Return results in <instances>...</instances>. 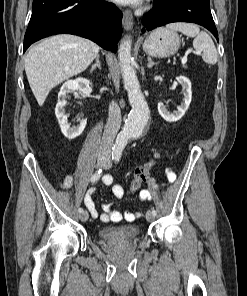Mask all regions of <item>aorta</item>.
<instances>
[{
	"label": "aorta",
	"mask_w": 247,
	"mask_h": 296,
	"mask_svg": "<svg viewBox=\"0 0 247 296\" xmlns=\"http://www.w3.org/2000/svg\"><path fill=\"white\" fill-rule=\"evenodd\" d=\"M131 45L130 38H125L120 44L118 58L121 65V72L124 87L128 93V100L132 107L123 127L117 136L115 147L124 149L131 137L142 134L149 119V108L134 68L131 66Z\"/></svg>",
	"instance_id": "1"
}]
</instances>
